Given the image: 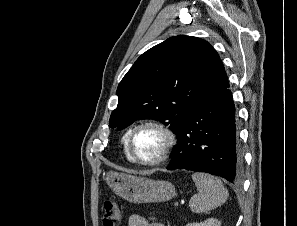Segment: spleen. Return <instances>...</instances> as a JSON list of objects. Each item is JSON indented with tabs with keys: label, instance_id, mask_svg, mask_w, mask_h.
I'll use <instances>...</instances> for the list:
<instances>
[{
	"label": "spleen",
	"instance_id": "obj_1",
	"mask_svg": "<svg viewBox=\"0 0 297 226\" xmlns=\"http://www.w3.org/2000/svg\"><path fill=\"white\" fill-rule=\"evenodd\" d=\"M192 179L198 190L189 201L192 212L206 213L226 202L229 194L220 179L199 172L194 173Z\"/></svg>",
	"mask_w": 297,
	"mask_h": 226
}]
</instances>
